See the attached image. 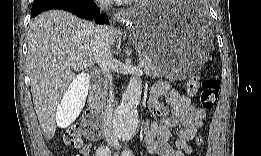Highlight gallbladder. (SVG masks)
I'll return each instance as SVG.
<instances>
[{
    "instance_id": "obj_1",
    "label": "gallbladder",
    "mask_w": 261,
    "mask_h": 156,
    "mask_svg": "<svg viewBox=\"0 0 261 156\" xmlns=\"http://www.w3.org/2000/svg\"><path fill=\"white\" fill-rule=\"evenodd\" d=\"M88 73H81L72 80V84L66 89L64 100H62L55 110V120L57 127L66 128L70 127V124L74 122L81 113L82 108H84V103L86 102L87 95L89 94L90 76Z\"/></svg>"
}]
</instances>
